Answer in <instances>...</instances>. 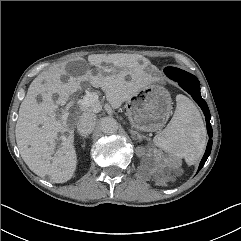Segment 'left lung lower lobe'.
<instances>
[{
	"label": "left lung lower lobe",
	"instance_id": "left-lung-lower-lobe-1",
	"mask_svg": "<svg viewBox=\"0 0 241 241\" xmlns=\"http://www.w3.org/2000/svg\"><path fill=\"white\" fill-rule=\"evenodd\" d=\"M166 75L169 78L173 79L174 81L178 82V84L192 96V98L196 101V103H198V105L201 107V109L203 110L204 115L206 117L207 131H208V135H209L210 139L208 141L206 152L199 165V170H200L210 155L211 148H212L211 137L213 135L212 127L210 124V112H209L207 103L201 97V94H200V87H199L200 83L195 76H192L191 78H187V77L184 78L183 76L178 75L176 73L174 75L173 74H169V75L166 74Z\"/></svg>",
	"mask_w": 241,
	"mask_h": 241
}]
</instances>
